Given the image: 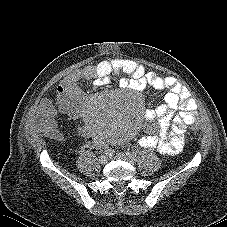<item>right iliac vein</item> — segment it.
<instances>
[{
    "mask_svg": "<svg viewBox=\"0 0 227 227\" xmlns=\"http://www.w3.org/2000/svg\"><path fill=\"white\" fill-rule=\"evenodd\" d=\"M98 161H99L100 164L104 165L108 162V157L106 155H101L98 158Z\"/></svg>",
    "mask_w": 227,
    "mask_h": 227,
    "instance_id": "right-iliac-vein-1",
    "label": "right iliac vein"
}]
</instances>
